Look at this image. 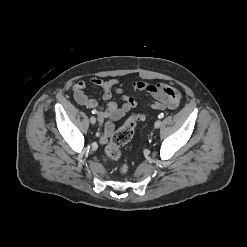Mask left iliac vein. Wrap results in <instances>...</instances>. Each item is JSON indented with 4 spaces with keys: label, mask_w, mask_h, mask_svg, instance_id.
Masks as SVG:
<instances>
[{
    "label": "left iliac vein",
    "mask_w": 247,
    "mask_h": 247,
    "mask_svg": "<svg viewBox=\"0 0 247 247\" xmlns=\"http://www.w3.org/2000/svg\"><path fill=\"white\" fill-rule=\"evenodd\" d=\"M162 122L160 120H157L154 124L155 128H159L161 126Z\"/></svg>",
    "instance_id": "left-iliac-vein-1"
}]
</instances>
